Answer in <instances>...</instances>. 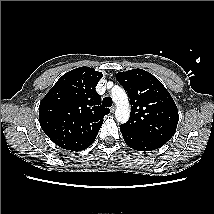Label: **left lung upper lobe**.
I'll use <instances>...</instances> for the list:
<instances>
[{
    "label": "left lung upper lobe",
    "mask_w": 214,
    "mask_h": 214,
    "mask_svg": "<svg viewBox=\"0 0 214 214\" xmlns=\"http://www.w3.org/2000/svg\"><path fill=\"white\" fill-rule=\"evenodd\" d=\"M117 79L131 103L130 118L120 127L167 142L174 135L179 119L176 104L167 89L143 69L119 72Z\"/></svg>",
    "instance_id": "obj_1"
}]
</instances>
